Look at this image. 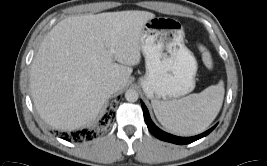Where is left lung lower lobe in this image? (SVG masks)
Masks as SVG:
<instances>
[{"instance_id":"left-lung-lower-lobe-1","label":"left lung lower lobe","mask_w":267,"mask_h":166,"mask_svg":"<svg viewBox=\"0 0 267 166\" xmlns=\"http://www.w3.org/2000/svg\"><path fill=\"white\" fill-rule=\"evenodd\" d=\"M141 105H142V109H143L144 119H145V122L147 124L149 131L155 137H157L158 139L163 140V141H167V142H171V143L179 144V145L189 144V143H192V142L208 135L216 127V125H215L214 127L207 130L206 132L199 134L197 136H194V137L174 136V135L168 134V133L160 130L158 127H156L155 124L152 122V120L149 116L148 110L142 101H141Z\"/></svg>"}]
</instances>
